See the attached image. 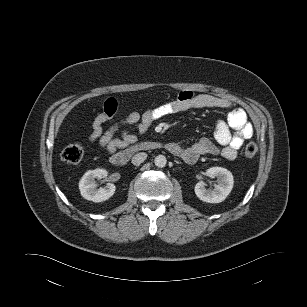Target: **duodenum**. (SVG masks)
I'll list each match as a JSON object with an SVG mask.
<instances>
[{
	"instance_id": "410a0bca",
	"label": "duodenum",
	"mask_w": 307,
	"mask_h": 307,
	"mask_svg": "<svg viewBox=\"0 0 307 307\" xmlns=\"http://www.w3.org/2000/svg\"><path fill=\"white\" fill-rule=\"evenodd\" d=\"M161 147L159 142L143 141L129 146L127 149L118 152L110 157V163L115 167H123L127 165L130 158L139 152H147L156 150Z\"/></svg>"
}]
</instances>
